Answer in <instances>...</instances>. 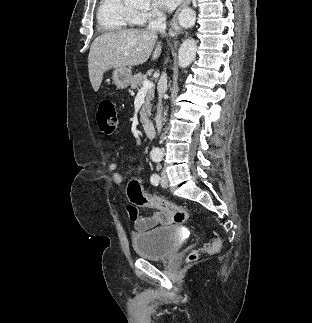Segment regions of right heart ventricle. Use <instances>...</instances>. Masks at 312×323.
<instances>
[{"mask_svg": "<svg viewBox=\"0 0 312 323\" xmlns=\"http://www.w3.org/2000/svg\"><path fill=\"white\" fill-rule=\"evenodd\" d=\"M143 17L132 5H123L122 0H100L93 13L100 29H129V25H139Z\"/></svg>", "mask_w": 312, "mask_h": 323, "instance_id": "obj_1", "label": "right heart ventricle"}]
</instances>
